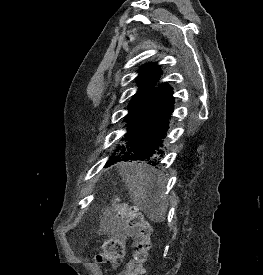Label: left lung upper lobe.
Segmentation results:
<instances>
[{"label":"left lung upper lobe","mask_w":263,"mask_h":275,"mask_svg":"<svg viewBox=\"0 0 263 275\" xmlns=\"http://www.w3.org/2000/svg\"><path fill=\"white\" fill-rule=\"evenodd\" d=\"M160 69L155 64H147L144 65L140 71L139 76L137 77V82L140 84L137 93L133 96L132 100L128 106V114L125 118V121L128 117L133 113V111L137 108L140 102L144 99V97L156 87L157 82L160 76Z\"/></svg>","instance_id":"left-lung-upper-lobe-1"}]
</instances>
